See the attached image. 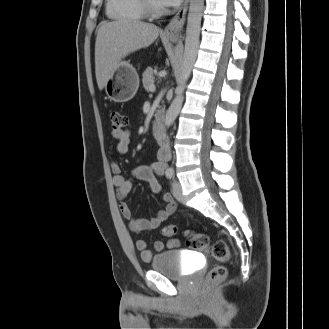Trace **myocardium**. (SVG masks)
Instances as JSON below:
<instances>
[{
  "label": "myocardium",
  "mask_w": 329,
  "mask_h": 329,
  "mask_svg": "<svg viewBox=\"0 0 329 329\" xmlns=\"http://www.w3.org/2000/svg\"><path fill=\"white\" fill-rule=\"evenodd\" d=\"M145 14L151 18H157L166 12L164 6H156L152 0H140Z\"/></svg>",
  "instance_id": "obj_1"
}]
</instances>
